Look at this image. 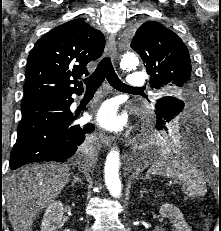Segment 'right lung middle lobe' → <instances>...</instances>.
<instances>
[{
  "instance_id": "dd1d6c3e",
  "label": "right lung middle lobe",
  "mask_w": 221,
  "mask_h": 231,
  "mask_svg": "<svg viewBox=\"0 0 221 231\" xmlns=\"http://www.w3.org/2000/svg\"><path fill=\"white\" fill-rule=\"evenodd\" d=\"M33 102H36V101H23L21 107L28 105L30 103H33Z\"/></svg>"
}]
</instances>
